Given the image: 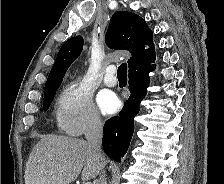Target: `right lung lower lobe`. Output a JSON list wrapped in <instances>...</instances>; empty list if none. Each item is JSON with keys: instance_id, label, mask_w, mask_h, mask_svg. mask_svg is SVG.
<instances>
[{"instance_id": "obj_1", "label": "right lung lower lobe", "mask_w": 224, "mask_h": 184, "mask_svg": "<svg viewBox=\"0 0 224 184\" xmlns=\"http://www.w3.org/2000/svg\"><path fill=\"white\" fill-rule=\"evenodd\" d=\"M156 65H150L129 74L130 97L119 116L106 121L103 128L102 145L105 153L117 162L127 152L133 132L134 118L140 110V102L144 99L149 86V72Z\"/></svg>"}]
</instances>
